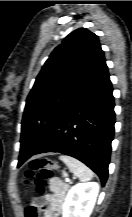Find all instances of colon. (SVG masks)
Here are the masks:
<instances>
[{"mask_svg":"<svg viewBox=\"0 0 132 217\" xmlns=\"http://www.w3.org/2000/svg\"><path fill=\"white\" fill-rule=\"evenodd\" d=\"M58 168L54 161L49 159H35L30 163L29 169L26 171V178L31 182L38 193L44 190L46 180L52 177L54 171ZM39 208L29 206L27 208V217H38Z\"/></svg>","mask_w":132,"mask_h":217,"instance_id":"1","label":"colon"}]
</instances>
